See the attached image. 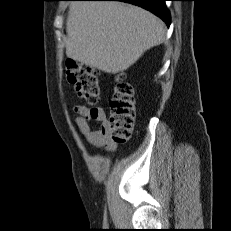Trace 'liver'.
I'll return each mask as SVG.
<instances>
[{"label": "liver", "mask_w": 231, "mask_h": 231, "mask_svg": "<svg viewBox=\"0 0 231 231\" xmlns=\"http://www.w3.org/2000/svg\"><path fill=\"white\" fill-rule=\"evenodd\" d=\"M66 55L106 73L127 70L165 39L163 22L133 5L104 1L70 4Z\"/></svg>", "instance_id": "1"}]
</instances>
